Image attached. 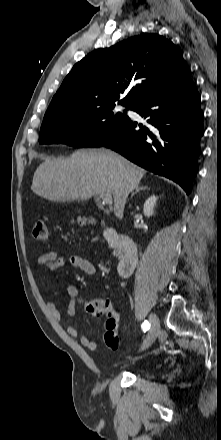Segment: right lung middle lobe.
<instances>
[{
	"mask_svg": "<svg viewBox=\"0 0 221 440\" xmlns=\"http://www.w3.org/2000/svg\"><path fill=\"white\" fill-rule=\"evenodd\" d=\"M115 106V103L96 107L72 105L46 111L39 142L66 143L74 147H100L129 119L125 115L126 111L117 112ZM124 106L127 109L133 108Z\"/></svg>",
	"mask_w": 221,
	"mask_h": 440,
	"instance_id": "dd1d6c3e",
	"label": "right lung middle lobe"
}]
</instances>
